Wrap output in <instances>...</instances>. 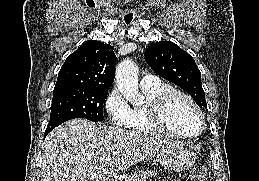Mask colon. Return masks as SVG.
<instances>
[{
    "label": "colon",
    "mask_w": 259,
    "mask_h": 181,
    "mask_svg": "<svg viewBox=\"0 0 259 181\" xmlns=\"http://www.w3.org/2000/svg\"><path fill=\"white\" fill-rule=\"evenodd\" d=\"M207 180V170L205 165L196 164L190 173V181H206Z\"/></svg>",
    "instance_id": "obj_1"
}]
</instances>
